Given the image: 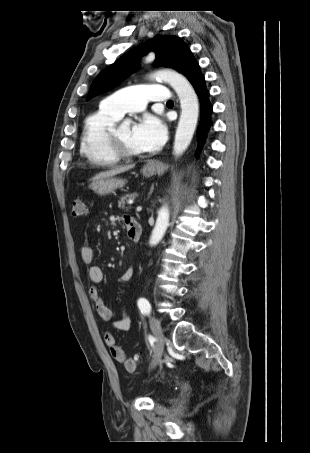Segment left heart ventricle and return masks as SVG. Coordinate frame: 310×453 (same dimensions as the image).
<instances>
[{
    "mask_svg": "<svg viewBox=\"0 0 310 453\" xmlns=\"http://www.w3.org/2000/svg\"><path fill=\"white\" fill-rule=\"evenodd\" d=\"M132 128L133 126L131 124L122 125L117 129V135L128 150L135 153H142L143 150L133 140Z\"/></svg>",
    "mask_w": 310,
    "mask_h": 453,
    "instance_id": "1",
    "label": "left heart ventricle"
}]
</instances>
